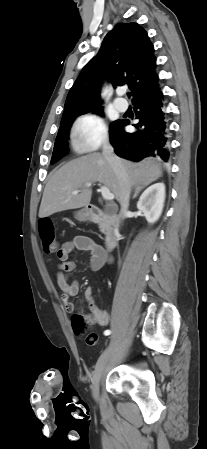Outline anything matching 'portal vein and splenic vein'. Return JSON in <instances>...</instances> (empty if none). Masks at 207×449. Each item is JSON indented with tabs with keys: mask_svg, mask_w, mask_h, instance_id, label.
I'll return each instance as SVG.
<instances>
[{
	"mask_svg": "<svg viewBox=\"0 0 207 449\" xmlns=\"http://www.w3.org/2000/svg\"><path fill=\"white\" fill-rule=\"evenodd\" d=\"M92 185L91 182H88L85 184V187H90ZM102 194L103 199L105 200H112L114 199V195L110 192V190L106 186H101L99 190ZM79 193V190L73 191L72 194L76 195Z\"/></svg>",
	"mask_w": 207,
	"mask_h": 449,
	"instance_id": "obj_1",
	"label": "portal vein and splenic vein"
}]
</instances>
